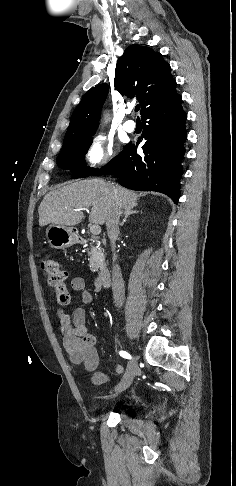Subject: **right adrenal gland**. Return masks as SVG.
I'll return each mask as SVG.
<instances>
[{
    "label": "right adrenal gland",
    "instance_id": "1",
    "mask_svg": "<svg viewBox=\"0 0 236 486\" xmlns=\"http://www.w3.org/2000/svg\"><path fill=\"white\" fill-rule=\"evenodd\" d=\"M135 213H139L138 211L134 210L133 208H127L125 209L124 211V219L123 221L120 223V226L122 227L124 225V223L126 222L127 218L132 215V214H135Z\"/></svg>",
    "mask_w": 236,
    "mask_h": 486
}]
</instances>
